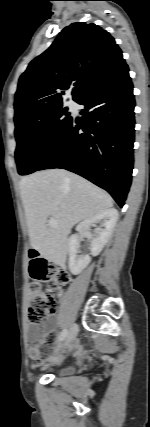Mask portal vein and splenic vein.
I'll use <instances>...</instances> for the list:
<instances>
[{"instance_id": "18ae733b", "label": "portal vein and splenic vein", "mask_w": 150, "mask_h": 427, "mask_svg": "<svg viewBox=\"0 0 150 427\" xmlns=\"http://www.w3.org/2000/svg\"><path fill=\"white\" fill-rule=\"evenodd\" d=\"M48 225H49L50 227H56V226L58 225V223H57V221H56L54 218H50V219L48 220Z\"/></svg>"}]
</instances>
